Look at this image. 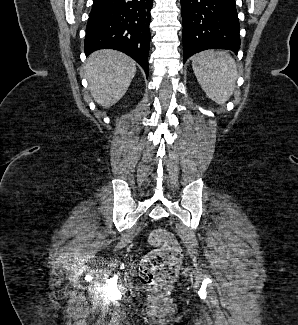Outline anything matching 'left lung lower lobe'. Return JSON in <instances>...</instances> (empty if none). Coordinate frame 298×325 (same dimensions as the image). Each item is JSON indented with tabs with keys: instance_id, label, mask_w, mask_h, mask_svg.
Wrapping results in <instances>:
<instances>
[{
	"instance_id": "obj_1",
	"label": "left lung lower lobe",
	"mask_w": 298,
	"mask_h": 325,
	"mask_svg": "<svg viewBox=\"0 0 298 325\" xmlns=\"http://www.w3.org/2000/svg\"><path fill=\"white\" fill-rule=\"evenodd\" d=\"M183 63L206 49L240 48L235 0H181Z\"/></svg>"
}]
</instances>
